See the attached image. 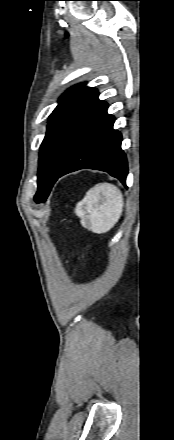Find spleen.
I'll return each instance as SVG.
<instances>
[{
    "label": "spleen",
    "instance_id": "3e777b00",
    "mask_svg": "<svg viewBox=\"0 0 174 440\" xmlns=\"http://www.w3.org/2000/svg\"><path fill=\"white\" fill-rule=\"evenodd\" d=\"M124 207L123 195L111 183L92 187L76 207L81 225L98 234L106 233L118 222Z\"/></svg>",
    "mask_w": 174,
    "mask_h": 440
}]
</instances>
